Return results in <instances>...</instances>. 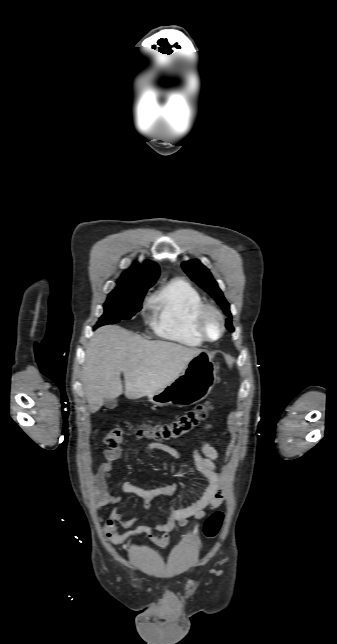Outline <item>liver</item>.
Wrapping results in <instances>:
<instances>
[{"instance_id":"obj_1","label":"liver","mask_w":337,"mask_h":644,"mask_svg":"<svg viewBox=\"0 0 337 644\" xmlns=\"http://www.w3.org/2000/svg\"><path fill=\"white\" fill-rule=\"evenodd\" d=\"M201 351L173 342L146 340L116 325L97 329L86 348L82 370L90 411L97 412L105 399L123 393L121 372L126 398L138 399L173 382Z\"/></svg>"}]
</instances>
